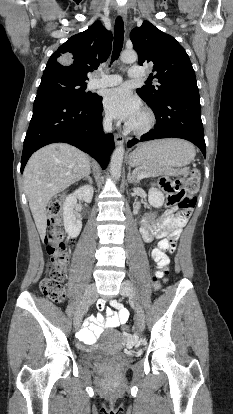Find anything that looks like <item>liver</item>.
Listing matches in <instances>:
<instances>
[{"mask_svg":"<svg viewBox=\"0 0 233 414\" xmlns=\"http://www.w3.org/2000/svg\"><path fill=\"white\" fill-rule=\"evenodd\" d=\"M89 172L88 155L65 143L47 145L30 157L24 169V190L41 239L46 235L49 201Z\"/></svg>","mask_w":233,"mask_h":414,"instance_id":"obj_1","label":"liver"}]
</instances>
